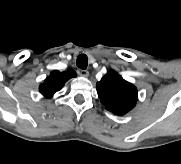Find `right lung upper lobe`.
<instances>
[{"label":"right lung upper lobe","mask_w":181,"mask_h":164,"mask_svg":"<svg viewBox=\"0 0 181 164\" xmlns=\"http://www.w3.org/2000/svg\"><path fill=\"white\" fill-rule=\"evenodd\" d=\"M76 75V72L72 69L64 72L54 70L45 79L44 83L39 86V91L46 98H51L57 91L62 89L66 81L72 77H76Z\"/></svg>","instance_id":"right-lung-upper-lobe-1"}]
</instances>
